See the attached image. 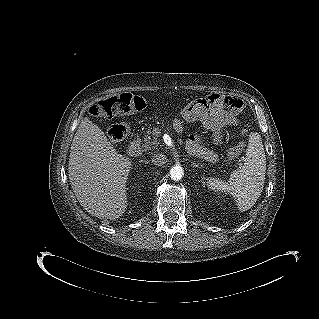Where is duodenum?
I'll return each mask as SVG.
<instances>
[{"label": "duodenum", "instance_id": "obj_1", "mask_svg": "<svg viewBox=\"0 0 319 319\" xmlns=\"http://www.w3.org/2000/svg\"><path fill=\"white\" fill-rule=\"evenodd\" d=\"M141 151V146L140 143L138 141H133L130 143L129 147H128V154L132 157H137L139 156Z\"/></svg>", "mask_w": 319, "mask_h": 319}]
</instances>
